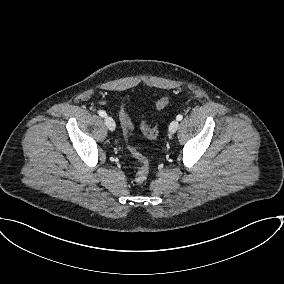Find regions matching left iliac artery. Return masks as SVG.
Segmentation results:
<instances>
[{
    "label": "left iliac artery",
    "instance_id": "44dca946",
    "mask_svg": "<svg viewBox=\"0 0 284 284\" xmlns=\"http://www.w3.org/2000/svg\"><path fill=\"white\" fill-rule=\"evenodd\" d=\"M182 118H183V116H182L181 114L177 115V117H176V119H177L178 121H181Z\"/></svg>",
    "mask_w": 284,
    "mask_h": 284
}]
</instances>
